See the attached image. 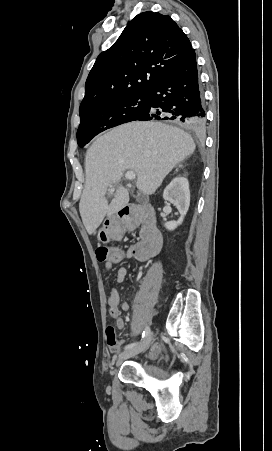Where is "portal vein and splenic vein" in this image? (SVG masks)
Returning <instances> with one entry per match:
<instances>
[{
    "label": "portal vein and splenic vein",
    "mask_w": 272,
    "mask_h": 451,
    "mask_svg": "<svg viewBox=\"0 0 272 451\" xmlns=\"http://www.w3.org/2000/svg\"><path fill=\"white\" fill-rule=\"evenodd\" d=\"M125 178H127V180H135L136 174L135 172H126ZM110 188L111 190H109V192L110 194H113V192H115V188H113V186H110Z\"/></svg>",
    "instance_id": "18ae733b"
}]
</instances>
